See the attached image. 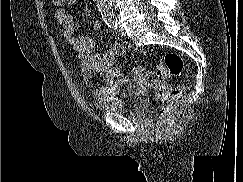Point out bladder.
I'll use <instances>...</instances> for the list:
<instances>
[{
    "label": "bladder",
    "mask_w": 243,
    "mask_h": 182,
    "mask_svg": "<svg viewBox=\"0 0 243 182\" xmlns=\"http://www.w3.org/2000/svg\"><path fill=\"white\" fill-rule=\"evenodd\" d=\"M146 100L137 93L126 96H111L95 101V108L103 113H120L127 115H140L146 109Z\"/></svg>",
    "instance_id": "bladder-1"
}]
</instances>
